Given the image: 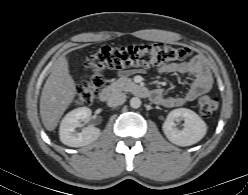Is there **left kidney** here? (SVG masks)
Returning <instances> with one entry per match:
<instances>
[{
  "instance_id": "obj_1",
  "label": "left kidney",
  "mask_w": 248,
  "mask_h": 195,
  "mask_svg": "<svg viewBox=\"0 0 248 195\" xmlns=\"http://www.w3.org/2000/svg\"><path fill=\"white\" fill-rule=\"evenodd\" d=\"M184 120L182 129L176 127L175 121ZM167 139L178 146H190L200 141L207 132L206 123L194 111L186 108L172 110L163 124Z\"/></svg>"
}]
</instances>
